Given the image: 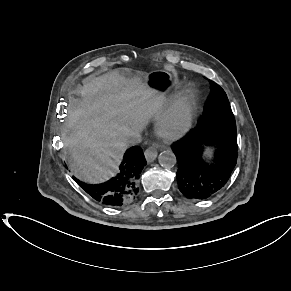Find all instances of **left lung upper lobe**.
Listing matches in <instances>:
<instances>
[{"label": "left lung upper lobe", "instance_id": "5c2ea615", "mask_svg": "<svg viewBox=\"0 0 291 291\" xmlns=\"http://www.w3.org/2000/svg\"><path fill=\"white\" fill-rule=\"evenodd\" d=\"M211 84V95L200 119L205 123L236 128L234 115L226 93L215 82L212 81Z\"/></svg>", "mask_w": 291, "mask_h": 291}]
</instances>
